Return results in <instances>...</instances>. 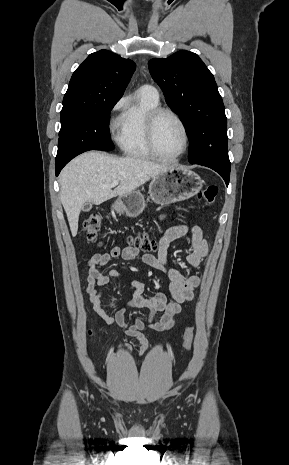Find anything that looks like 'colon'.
<instances>
[{
  "instance_id": "obj_1",
  "label": "colon",
  "mask_w": 289,
  "mask_h": 465,
  "mask_svg": "<svg viewBox=\"0 0 289 465\" xmlns=\"http://www.w3.org/2000/svg\"><path fill=\"white\" fill-rule=\"evenodd\" d=\"M218 194V188L215 185H209L199 193L205 205L210 206L214 203ZM102 216L99 213H92L83 224V229L87 239L91 242L97 241V234L102 227ZM129 242L137 249L144 252H151L157 248V242L146 233L137 234L129 239ZM193 339V327L186 328L183 335V346L190 350Z\"/></svg>"
}]
</instances>
